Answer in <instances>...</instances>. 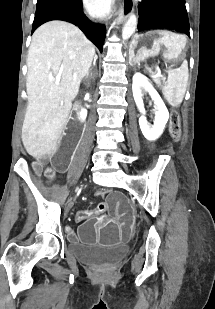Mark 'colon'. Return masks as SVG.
I'll return each mask as SVG.
<instances>
[{
    "instance_id": "colon-1",
    "label": "colon",
    "mask_w": 215,
    "mask_h": 309,
    "mask_svg": "<svg viewBox=\"0 0 215 309\" xmlns=\"http://www.w3.org/2000/svg\"><path fill=\"white\" fill-rule=\"evenodd\" d=\"M170 129H171V136L175 141H179L181 137V123H180V116L178 111L173 110L171 112L170 117ZM47 175L49 178H52L54 175V172L52 169H49L47 171Z\"/></svg>"
}]
</instances>
